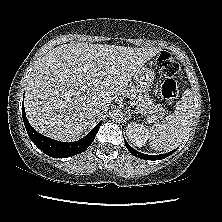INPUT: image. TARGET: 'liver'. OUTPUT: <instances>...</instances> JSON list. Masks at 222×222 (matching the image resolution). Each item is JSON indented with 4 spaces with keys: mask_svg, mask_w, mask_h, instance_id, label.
<instances>
[{
    "mask_svg": "<svg viewBox=\"0 0 222 222\" xmlns=\"http://www.w3.org/2000/svg\"><path fill=\"white\" fill-rule=\"evenodd\" d=\"M159 52L88 43L55 47L38 61L27 82L28 121L47 137L75 141L90 125L91 109L124 94L137 71Z\"/></svg>",
    "mask_w": 222,
    "mask_h": 222,
    "instance_id": "obj_1",
    "label": "liver"
}]
</instances>
